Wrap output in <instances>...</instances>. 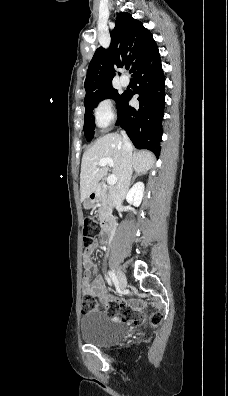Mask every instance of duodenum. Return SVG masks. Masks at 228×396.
Masks as SVG:
<instances>
[{"instance_id": "1", "label": "duodenum", "mask_w": 228, "mask_h": 396, "mask_svg": "<svg viewBox=\"0 0 228 396\" xmlns=\"http://www.w3.org/2000/svg\"><path fill=\"white\" fill-rule=\"evenodd\" d=\"M95 197V193L92 194ZM116 220L113 217H105L101 220V227L105 234H110L116 229Z\"/></svg>"}]
</instances>
